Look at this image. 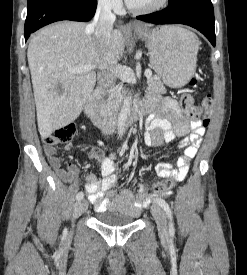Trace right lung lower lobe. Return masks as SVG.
<instances>
[{
  "label": "right lung lower lobe",
  "mask_w": 247,
  "mask_h": 275,
  "mask_svg": "<svg viewBox=\"0 0 247 275\" xmlns=\"http://www.w3.org/2000/svg\"><path fill=\"white\" fill-rule=\"evenodd\" d=\"M96 0H33L28 2L25 40L39 28L60 20L89 21L95 14Z\"/></svg>",
  "instance_id": "obj_1"
}]
</instances>
